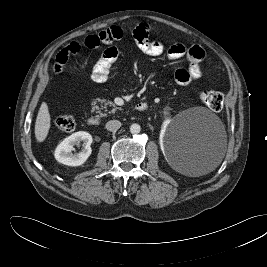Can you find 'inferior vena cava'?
<instances>
[{"label": "inferior vena cava", "mask_w": 267, "mask_h": 267, "mask_svg": "<svg viewBox=\"0 0 267 267\" xmlns=\"http://www.w3.org/2000/svg\"><path fill=\"white\" fill-rule=\"evenodd\" d=\"M121 127V122L118 120H110L106 123V129L111 132L117 131Z\"/></svg>", "instance_id": "inferior-vena-cava-1"}]
</instances>
